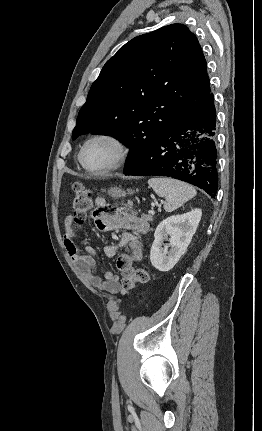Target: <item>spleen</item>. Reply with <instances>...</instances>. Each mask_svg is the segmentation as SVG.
Wrapping results in <instances>:
<instances>
[{
	"label": "spleen",
	"instance_id": "1",
	"mask_svg": "<svg viewBox=\"0 0 262 431\" xmlns=\"http://www.w3.org/2000/svg\"><path fill=\"white\" fill-rule=\"evenodd\" d=\"M148 184L158 196L166 199L164 203L166 212L178 209L197 193L193 186L172 178L153 177L148 180Z\"/></svg>",
	"mask_w": 262,
	"mask_h": 431
}]
</instances>
